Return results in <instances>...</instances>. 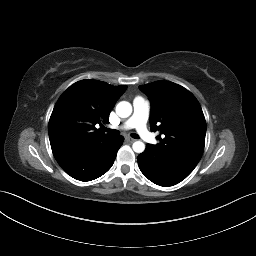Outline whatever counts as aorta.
<instances>
[{
    "label": "aorta",
    "instance_id": "obj_1",
    "mask_svg": "<svg viewBox=\"0 0 256 256\" xmlns=\"http://www.w3.org/2000/svg\"><path fill=\"white\" fill-rule=\"evenodd\" d=\"M116 113L121 118H127L132 113V106L127 101H121L116 106ZM134 152L142 153L145 150V144L142 141H135L132 145Z\"/></svg>",
    "mask_w": 256,
    "mask_h": 256
}]
</instances>
